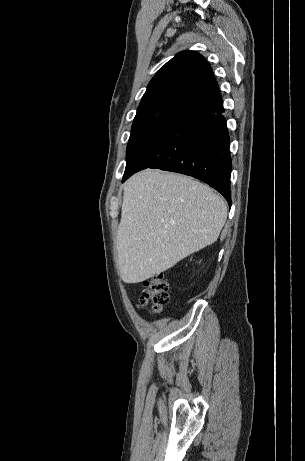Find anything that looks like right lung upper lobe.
Returning <instances> with one entry per match:
<instances>
[{"mask_svg":"<svg viewBox=\"0 0 305 461\" xmlns=\"http://www.w3.org/2000/svg\"><path fill=\"white\" fill-rule=\"evenodd\" d=\"M218 91L213 72L202 55L183 51L151 79L139 109L176 104L190 108Z\"/></svg>","mask_w":305,"mask_h":461,"instance_id":"cb5924a9","label":"right lung upper lobe"}]
</instances>
